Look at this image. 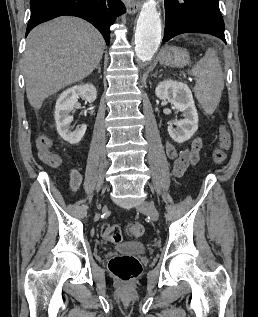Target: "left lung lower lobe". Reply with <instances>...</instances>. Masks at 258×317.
I'll list each match as a JSON object with an SVG mask.
<instances>
[{
	"instance_id": "obj_1",
	"label": "left lung lower lobe",
	"mask_w": 258,
	"mask_h": 317,
	"mask_svg": "<svg viewBox=\"0 0 258 317\" xmlns=\"http://www.w3.org/2000/svg\"><path fill=\"white\" fill-rule=\"evenodd\" d=\"M188 32L210 34L226 43L218 0H165L163 42Z\"/></svg>"
}]
</instances>
